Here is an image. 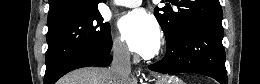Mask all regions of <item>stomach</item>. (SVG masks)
<instances>
[{"instance_id": "0dacf381", "label": "stomach", "mask_w": 260, "mask_h": 84, "mask_svg": "<svg viewBox=\"0 0 260 84\" xmlns=\"http://www.w3.org/2000/svg\"><path fill=\"white\" fill-rule=\"evenodd\" d=\"M154 84H184V82L174 75H163L160 77H157L154 80Z\"/></svg>"}]
</instances>
